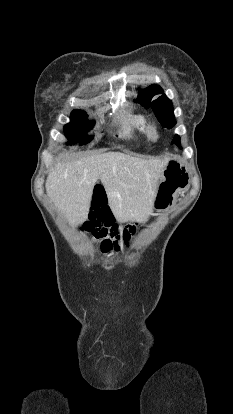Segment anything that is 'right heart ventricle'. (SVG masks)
Returning a JSON list of instances; mask_svg holds the SVG:
<instances>
[{
  "instance_id": "e07e8e85",
  "label": "right heart ventricle",
  "mask_w": 233,
  "mask_h": 414,
  "mask_svg": "<svg viewBox=\"0 0 233 414\" xmlns=\"http://www.w3.org/2000/svg\"><path fill=\"white\" fill-rule=\"evenodd\" d=\"M120 121L121 137L135 140L148 138L149 122L143 113L129 109L120 116Z\"/></svg>"
}]
</instances>
